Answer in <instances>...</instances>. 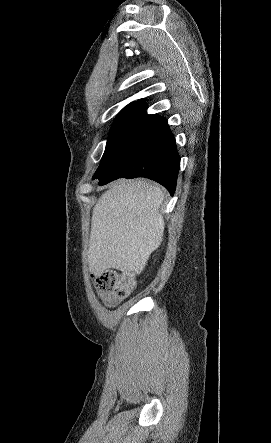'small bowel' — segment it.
<instances>
[{"label":"small bowel","mask_w":271,"mask_h":443,"mask_svg":"<svg viewBox=\"0 0 271 443\" xmlns=\"http://www.w3.org/2000/svg\"><path fill=\"white\" fill-rule=\"evenodd\" d=\"M97 294L102 302L108 307H115L121 302V299L114 298L104 293L98 292Z\"/></svg>","instance_id":"1"}]
</instances>
